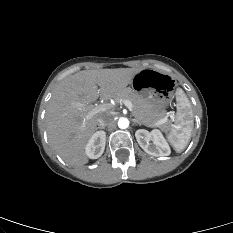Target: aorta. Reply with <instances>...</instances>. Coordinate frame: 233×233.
<instances>
[{
	"label": "aorta",
	"mask_w": 233,
	"mask_h": 233,
	"mask_svg": "<svg viewBox=\"0 0 233 233\" xmlns=\"http://www.w3.org/2000/svg\"><path fill=\"white\" fill-rule=\"evenodd\" d=\"M129 126V120L127 118H120L118 120V127L120 129H126Z\"/></svg>",
	"instance_id": "1"
}]
</instances>
